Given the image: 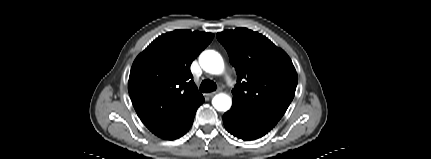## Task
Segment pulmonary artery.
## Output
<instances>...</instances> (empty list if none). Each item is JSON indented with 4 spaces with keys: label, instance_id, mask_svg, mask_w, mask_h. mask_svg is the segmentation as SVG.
<instances>
[{
    "label": "pulmonary artery",
    "instance_id": "obj_1",
    "mask_svg": "<svg viewBox=\"0 0 431 159\" xmlns=\"http://www.w3.org/2000/svg\"><path fill=\"white\" fill-rule=\"evenodd\" d=\"M226 81H227L228 83H230V82H231V79H230V77H229V76H226Z\"/></svg>",
    "mask_w": 431,
    "mask_h": 159
}]
</instances>
